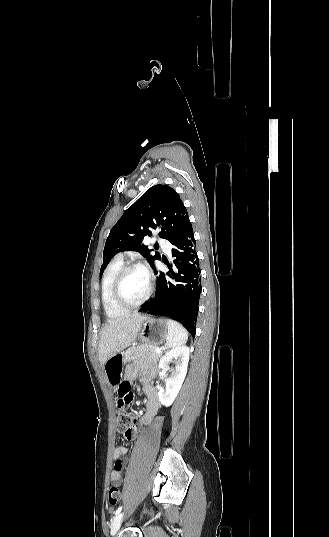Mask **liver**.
I'll use <instances>...</instances> for the list:
<instances>
[{
	"instance_id": "obj_1",
	"label": "liver",
	"mask_w": 329,
	"mask_h": 537,
	"mask_svg": "<svg viewBox=\"0 0 329 537\" xmlns=\"http://www.w3.org/2000/svg\"><path fill=\"white\" fill-rule=\"evenodd\" d=\"M144 317L138 313L117 319H108L103 325L98 348L99 362H105L113 355L129 347L141 328Z\"/></svg>"
}]
</instances>
